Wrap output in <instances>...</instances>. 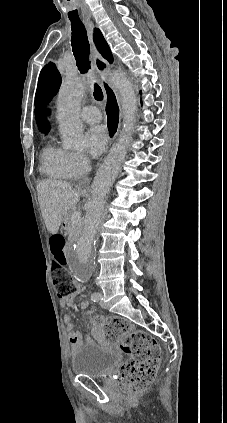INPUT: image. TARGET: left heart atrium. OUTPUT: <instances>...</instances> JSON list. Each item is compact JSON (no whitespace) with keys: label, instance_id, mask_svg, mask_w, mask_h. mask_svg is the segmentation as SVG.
Instances as JSON below:
<instances>
[{"label":"left heart atrium","instance_id":"1","mask_svg":"<svg viewBox=\"0 0 227 423\" xmlns=\"http://www.w3.org/2000/svg\"><path fill=\"white\" fill-rule=\"evenodd\" d=\"M86 136L90 154L94 157L101 155L105 151L109 140L106 128L102 126L93 127L87 132Z\"/></svg>","mask_w":227,"mask_h":423}]
</instances>
